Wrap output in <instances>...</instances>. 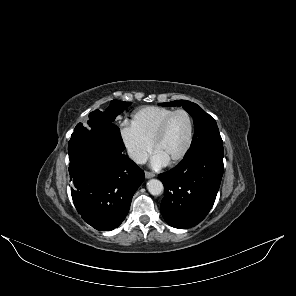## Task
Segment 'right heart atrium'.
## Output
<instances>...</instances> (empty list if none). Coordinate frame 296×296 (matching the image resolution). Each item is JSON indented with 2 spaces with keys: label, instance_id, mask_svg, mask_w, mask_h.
I'll use <instances>...</instances> for the list:
<instances>
[{
  "label": "right heart atrium",
  "instance_id": "obj_1",
  "mask_svg": "<svg viewBox=\"0 0 296 296\" xmlns=\"http://www.w3.org/2000/svg\"><path fill=\"white\" fill-rule=\"evenodd\" d=\"M121 137L127 148L129 157L138 164L145 162L151 151V145L142 140L135 131L128 126L122 127Z\"/></svg>",
  "mask_w": 296,
  "mask_h": 296
}]
</instances>
